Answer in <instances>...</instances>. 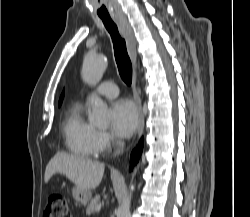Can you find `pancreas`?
Masks as SVG:
<instances>
[{"instance_id": "obj_1", "label": "pancreas", "mask_w": 250, "mask_h": 217, "mask_svg": "<svg viewBox=\"0 0 250 217\" xmlns=\"http://www.w3.org/2000/svg\"><path fill=\"white\" fill-rule=\"evenodd\" d=\"M99 198L95 197L91 200L90 204L86 208V214L90 215L93 214L96 211V207L99 206Z\"/></svg>"}]
</instances>
